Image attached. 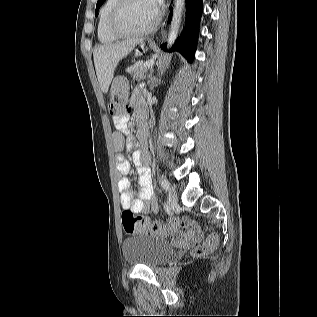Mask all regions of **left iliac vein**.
I'll use <instances>...</instances> for the list:
<instances>
[{
	"label": "left iliac vein",
	"instance_id": "4c4485c4",
	"mask_svg": "<svg viewBox=\"0 0 317 317\" xmlns=\"http://www.w3.org/2000/svg\"><path fill=\"white\" fill-rule=\"evenodd\" d=\"M178 201V196L174 187L169 186L168 188V203L169 205H175Z\"/></svg>",
	"mask_w": 317,
	"mask_h": 317
}]
</instances>
